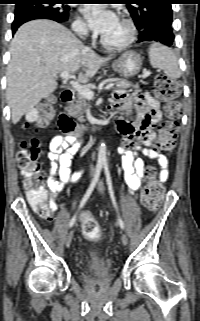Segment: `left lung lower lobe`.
<instances>
[{"mask_svg":"<svg viewBox=\"0 0 200 321\" xmlns=\"http://www.w3.org/2000/svg\"><path fill=\"white\" fill-rule=\"evenodd\" d=\"M139 32L140 35L138 42L157 41L173 47L174 34L171 27L162 24H153L145 27Z\"/></svg>","mask_w":200,"mask_h":321,"instance_id":"left-lung-lower-lobe-1","label":"left lung lower lobe"}]
</instances>
